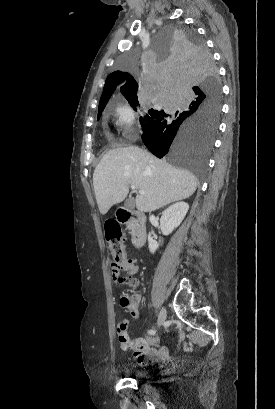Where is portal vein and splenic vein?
<instances>
[{
  "label": "portal vein and splenic vein",
  "mask_w": 275,
  "mask_h": 409,
  "mask_svg": "<svg viewBox=\"0 0 275 409\" xmlns=\"http://www.w3.org/2000/svg\"><path fill=\"white\" fill-rule=\"evenodd\" d=\"M131 188H136L135 184H132ZM140 194H145L144 190H139Z\"/></svg>",
  "instance_id": "obj_1"
}]
</instances>
